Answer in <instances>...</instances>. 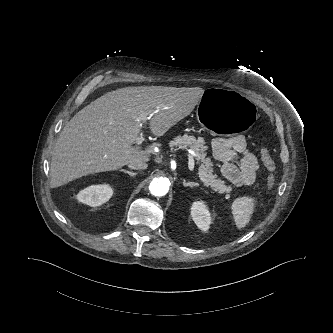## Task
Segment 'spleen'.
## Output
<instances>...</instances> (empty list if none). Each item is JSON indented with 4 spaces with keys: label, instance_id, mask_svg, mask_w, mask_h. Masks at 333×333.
I'll use <instances>...</instances> for the list:
<instances>
[{
    "label": "spleen",
    "instance_id": "1",
    "mask_svg": "<svg viewBox=\"0 0 333 333\" xmlns=\"http://www.w3.org/2000/svg\"><path fill=\"white\" fill-rule=\"evenodd\" d=\"M255 198L244 196L236 198L231 205L235 224L238 229L244 228L254 212Z\"/></svg>",
    "mask_w": 333,
    "mask_h": 333
}]
</instances>
